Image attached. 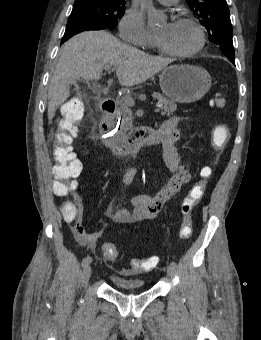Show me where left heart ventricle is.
Instances as JSON below:
<instances>
[{"instance_id": "left-heart-ventricle-1", "label": "left heart ventricle", "mask_w": 261, "mask_h": 340, "mask_svg": "<svg viewBox=\"0 0 261 340\" xmlns=\"http://www.w3.org/2000/svg\"><path fill=\"white\" fill-rule=\"evenodd\" d=\"M156 36L169 50L185 52L193 49L198 43V36L193 27L188 24L174 22L163 24Z\"/></svg>"}]
</instances>
